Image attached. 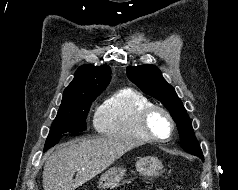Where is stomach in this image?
I'll list each match as a JSON object with an SVG mask.
<instances>
[{
	"mask_svg": "<svg viewBox=\"0 0 238 190\" xmlns=\"http://www.w3.org/2000/svg\"><path fill=\"white\" fill-rule=\"evenodd\" d=\"M137 171L145 177L158 176L163 169L162 162L156 157H144L136 162ZM126 170L120 166H114L103 173L99 179V187L113 188L124 177Z\"/></svg>",
	"mask_w": 238,
	"mask_h": 190,
	"instance_id": "1",
	"label": "stomach"
}]
</instances>
